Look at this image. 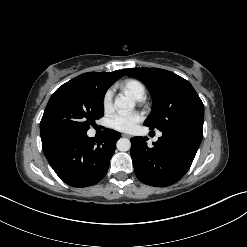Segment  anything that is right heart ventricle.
I'll use <instances>...</instances> for the list:
<instances>
[{
  "label": "right heart ventricle",
  "instance_id": "1",
  "mask_svg": "<svg viewBox=\"0 0 247 247\" xmlns=\"http://www.w3.org/2000/svg\"><path fill=\"white\" fill-rule=\"evenodd\" d=\"M121 88L129 95L136 99L145 96V88L143 84L136 79H127L121 84Z\"/></svg>",
  "mask_w": 247,
  "mask_h": 247
}]
</instances>
